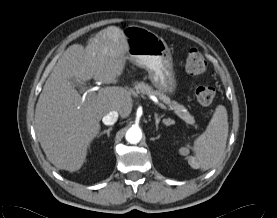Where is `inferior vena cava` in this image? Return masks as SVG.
Listing matches in <instances>:
<instances>
[{"label": "inferior vena cava", "instance_id": "inferior-vena-cava-1", "mask_svg": "<svg viewBox=\"0 0 277 218\" xmlns=\"http://www.w3.org/2000/svg\"><path fill=\"white\" fill-rule=\"evenodd\" d=\"M118 119L117 111H110L107 115H105L102 119V122L105 125H113Z\"/></svg>", "mask_w": 277, "mask_h": 218}]
</instances>
